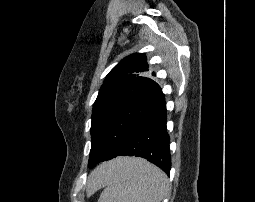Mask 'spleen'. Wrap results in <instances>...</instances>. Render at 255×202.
I'll return each instance as SVG.
<instances>
[{
  "mask_svg": "<svg viewBox=\"0 0 255 202\" xmlns=\"http://www.w3.org/2000/svg\"><path fill=\"white\" fill-rule=\"evenodd\" d=\"M93 187H104L98 202H161L168 179L144 159L118 158L97 172Z\"/></svg>",
  "mask_w": 255,
  "mask_h": 202,
  "instance_id": "spleen-1",
  "label": "spleen"
}]
</instances>
